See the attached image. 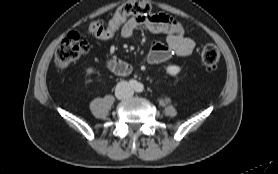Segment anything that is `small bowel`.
<instances>
[{
	"label": "small bowel",
	"mask_w": 278,
	"mask_h": 174,
	"mask_svg": "<svg viewBox=\"0 0 278 174\" xmlns=\"http://www.w3.org/2000/svg\"><path fill=\"white\" fill-rule=\"evenodd\" d=\"M168 18L171 17L163 13L151 12L131 16L122 23L118 32L123 38H130L138 29H145L153 34L165 36L164 41L154 42L150 49L148 62L151 64L166 62L174 55L189 56L195 49V42L186 35L172 30L167 24Z\"/></svg>",
	"instance_id": "obj_1"
}]
</instances>
